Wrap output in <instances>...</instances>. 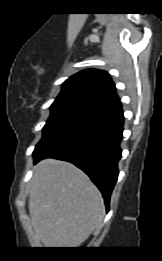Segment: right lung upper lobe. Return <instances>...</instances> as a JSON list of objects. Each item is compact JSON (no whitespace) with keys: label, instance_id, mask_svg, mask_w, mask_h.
Here are the masks:
<instances>
[{"label":"right lung upper lobe","instance_id":"obj_1","mask_svg":"<svg viewBox=\"0 0 162 261\" xmlns=\"http://www.w3.org/2000/svg\"><path fill=\"white\" fill-rule=\"evenodd\" d=\"M68 93L86 95L100 101L103 106L119 100L109 74L97 69H87L67 79L60 94Z\"/></svg>","mask_w":162,"mask_h":261}]
</instances>
